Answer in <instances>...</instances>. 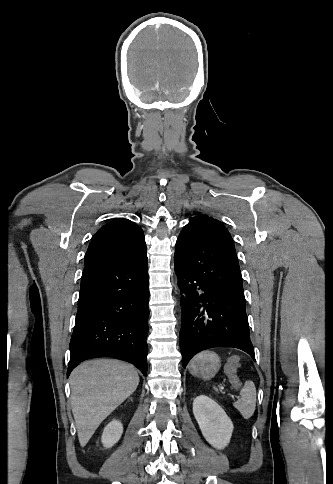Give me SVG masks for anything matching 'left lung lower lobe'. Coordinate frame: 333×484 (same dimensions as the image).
Here are the masks:
<instances>
[{
    "label": "left lung lower lobe",
    "mask_w": 333,
    "mask_h": 484,
    "mask_svg": "<svg viewBox=\"0 0 333 484\" xmlns=\"http://www.w3.org/2000/svg\"><path fill=\"white\" fill-rule=\"evenodd\" d=\"M174 266L184 293L179 335L183 367L196 353L214 347L238 348L255 360L242 276L226 227L213 218L190 219L177 239Z\"/></svg>",
    "instance_id": "obj_1"
}]
</instances>
